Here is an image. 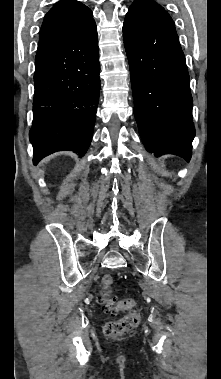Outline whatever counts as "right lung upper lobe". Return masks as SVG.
Returning <instances> with one entry per match:
<instances>
[{
    "mask_svg": "<svg viewBox=\"0 0 221 379\" xmlns=\"http://www.w3.org/2000/svg\"><path fill=\"white\" fill-rule=\"evenodd\" d=\"M93 22L87 6L77 0H60L44 17L37 52L75 38Z\"/></svg>",
    "mask_w": 221,
    "mask_h": 379,
    "instance_id": "right-lung-upper-lobe-1",
    "label": "right lung upper lobe"
}]
</instances>
